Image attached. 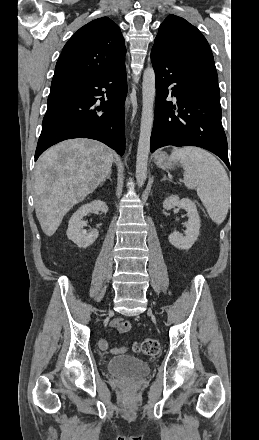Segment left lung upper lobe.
I'll return each instance as SVG.
<instances>
[{"mask_svg": "<svg viewBox=\"0 0 259 440\" xmlns=\"http://www.w3.org/2000/svg\"><path fill=\"white\" fill-rule=\"evenodd\" d=\"M152 49H158L180 63L204 65L216 70L205 37L196 27L176 15H169L160 25Z\"/></svg>", "mask_w": 259, "mask_h": 440, "instance_id": "left-lung-upper-lobe-1", "label": "left lung upper lobe"}]
</instances>
